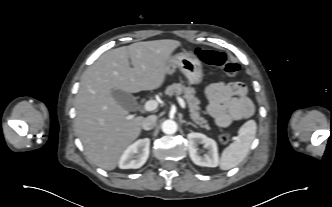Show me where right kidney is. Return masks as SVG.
Segmentation results:
<instances>
[{
	"label": "right kidney",
	"instance_id": "right-kidney-1",
	"mask_svg": "<svg viewBox=\"0 0 332 207\" xmlns=\"http://www.w3.org/2000/svg\"><path fill=\"white\" fill-rule=\"evenodd\" d=\"M150 139H139L130 145L119 160L121 169H137L142 167L149 157Z\"/></svg>",
	"mask_w": 332,
	"mask_h": 207
}]
</instances>
